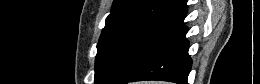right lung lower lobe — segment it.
Here are the masks:
<instances>
[{"label": "right lung lower lobe", "instance_id": "obj_1", "mask_svg": "<svg viewBox=\"0 0 260 84\" xmlns=\"http://www.w3.org/2000/svg\"><path fill=\"white\" fill-rule=\"evenodd\" d=\"M187 27H180L174 36L129 81L162 80L187 84L191 68Z\"/></svg>", "mask_w": 260, "mask_h": 84}]
</instances>
